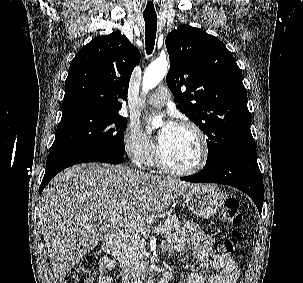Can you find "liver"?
<instances>
[{
    "label": "liver",
    "instance_id": "1",
    "mask_svg": "<svg viewBox=\"0 0 303 283\" xmlns=\"http://www.w3.org/2000/svg\"><path fill=\"white\" fill-rule=\"evenodd\" d=\"M193 186L104 163L80 164L60 172L43 191L40 206L45 246L57 283L101 240L95 225L98 219L124 214L137 223L147 212H163Z\"/></svg>",
    "mask_w": 303,
    "mask_h": 283
}]
</instances>
